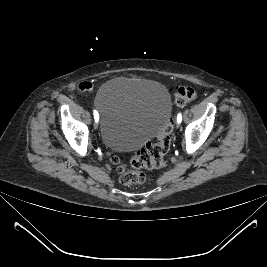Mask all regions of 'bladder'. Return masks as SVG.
<instances>
[{"mask_svg": "<svg viewBox=\"0 0 267 267\" xmlns=\"http://www.w3.org/2000/svg\"><path fill=\"white\" fill-rule=\"evenodd\" d=\"M95 105L101 138L115 151L142 146L163 130L172 112L171 95L164 85L125 77L106 82Z\"/></svg>", "mask_w": 267, "mask_h": 267, "instance_id": "obj_1", "label": "bladder"}]
</instances>
